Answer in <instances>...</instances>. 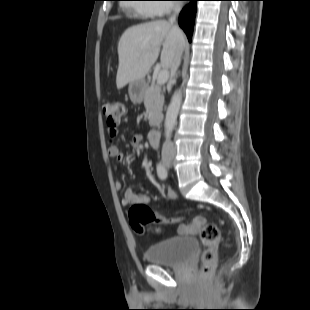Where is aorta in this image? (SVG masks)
<instances>
[{"instance_id": "aorta-1", "label": "aorta", "mask_w": 310, "mask_h": 310, "mask_svg": "<svg viewBox=\"0 0 310 310\" xmlns=\"http://www.w3.org/2000/svg\"><path fill=\"white\" fill-rule=\"evenodd\" d=\"M181 103H182V93L181 91H177L172 96L171 102L166 112L164 127H165V135L167 138L171 136L172 131L175 127Z\"/></svg>"}]
</instances>
